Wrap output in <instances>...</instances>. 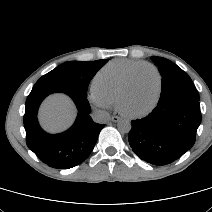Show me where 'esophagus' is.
<instances>
[{
	"instance_id": "esophagus-1",
	"label": "esophagus",
	"mask_w": 212,
	"mask_h": 212,
	"mask_svg": "<svg viewBox=\"0 0 212 212\" xmlns=\"http://www.w3.org/2000/svg\"><path fill=\"white\" fill-rule=\"evenodd\" d=\"M111 120H112L113 122H118V121L120 120V117H118V116H113V117L111 118Z\"/></svg>"
}]
</instances>
